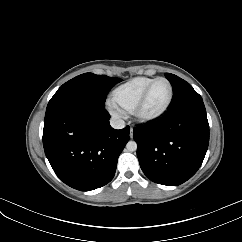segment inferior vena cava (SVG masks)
<instances>
[{
	"instance_id": "1",
	"label": "inferior vena cava",
	"mask_w": 242,
	"mask_h": 242,
	"mask_svg": "<svg viewBox=\"0 0 242 242\" xmlns=\"http://www.w3.org/2000/svg\"><path fill=\"white\" fill-rule=\"evenodd\" d=\"M110 125L114 129H122L125 127V122L120 118H111Z\"/></svg>"
}]
</instances>
